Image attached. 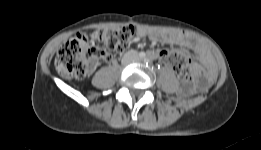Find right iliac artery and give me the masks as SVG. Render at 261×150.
Returning <instances> with one entry per match:
<instances>
[{
	"instance_id": "right-iliac-artery-1",
	"label": "right iliac artery",
	"mask_w": 261,
	"mask_h": 150,
	"mask_svg": "<svg viewBox=\"0 0 261 150\" xmlns=\"http://www.w3.org/2000/svg\"><path fill=\"white\" fill-rule=\"evenodd\" d=\"M139 57L143 59V58L146 57V54H145L144 52H140V53H139Z\"/></svg>"
}]
</instances>
